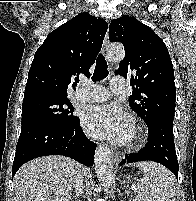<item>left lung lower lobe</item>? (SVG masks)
<instances>
[{
	"label": "left lung lower lobe",
	"instance_id": "obj_1",
	"mask_svg": "<svg viewBox=\"0 0 196 201\" xmlns=\"http://www.w3.org/2000/svg\"><path fill=\"white\" fill-rule=\"evenodd\" d=\"M146 146L139 152L126 156L120 165L151 160L170 169L178 178L179 164L175 151L172 123H155L149 127Z\"/></svg>",
	"mask_w": 196,
	"mask_h": 201
}]
</instances>
